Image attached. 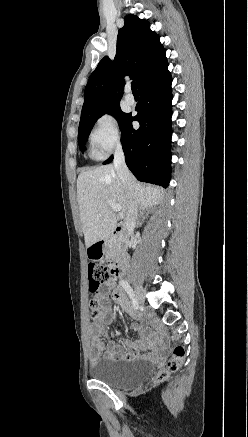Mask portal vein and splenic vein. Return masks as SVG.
Here are the masks:
<instances>
[{
	"mask_svg": "<svg viewBox=\"0 0 248 437\" xmlns=\"http://www.w3.org/2000/svg\"><path fill=\"white\" fill-rule=\"evenodd\" d=\"M109 205L111 206L112 210L115 212L121 211V206L118 204L113 203L111 200H108Z\"/></svg>",
	"mask_w": 248,
	"mask_h": 437,
	"instance_id": "1",
	"label": "portal vein and splenic vein"
}]
</instances>
